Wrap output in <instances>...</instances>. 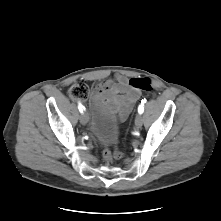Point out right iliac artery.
<instances>
[{"label": "right iliac artery", "mask_w": 221, "mask_h": 221, "mask_svg": "<svg viewBox=\"0 0 221 221\" xmlns=\"http://www.w3.org/2000/svg\"><path fill=\"white\" fill-rule=\"evenodd\" d=\"M78 109H79V111H80L81 113H83V111L85 110V107H84L82 104L79 103Z\"/></svg>", "instance_id": "1"}]
</instances>
